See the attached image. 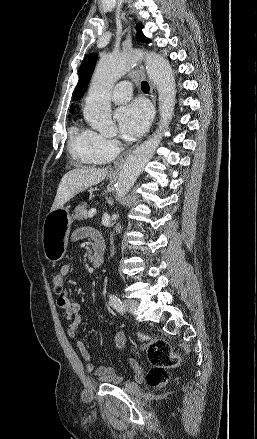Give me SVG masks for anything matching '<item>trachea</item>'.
Masks as SVG:
<instances>
[{
    "mask_svg": "<svg viewBox=\"0 0 257 439\" xmlns=\"http://www.w3.org/2000/svg\"><path fill=\"white\" fill-rule=\"evenodd\" d=\"M141 89L143 92H148L150 87L149 84L146 81L141 82Z\"/></svg>",
    "mask_w": 257,
    "mask_h": 439,
    "instance_id": "3493384b",
    "label": "trachea"
}]
</instances>
